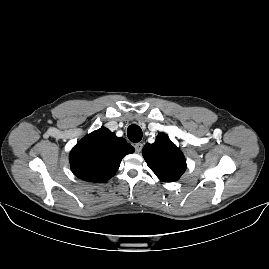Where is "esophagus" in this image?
Instances as JSON below:
<instances>
[{
	"label": "esophagus",
	"instance_id": "34e87169",
	"mask_svg": "<svg viewBox=\"0 0 269 269\" xmlns=\"http://www.w3.org/2000/svg\"><path fill=\"white\" fill-rule=\"evenodd\" d=\"M134 148H135V152L136 153H139L142 150V148H143V144L142 143H136L134 145Z\"/></svg>",
	"mask_w": 269,
	"mask_h": 269
}]
</instances>
